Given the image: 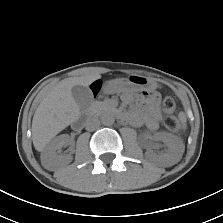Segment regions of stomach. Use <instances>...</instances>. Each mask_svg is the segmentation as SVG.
Wrapping results in <instances>:
<instances>
[{"label":"stomach","instance_id":"stomach-1","mask_svg":"<svg viewBox=\"0 0 223 223\" xmlns=\"http://www.w3.org/2000/svg\"><path fill=\"white\" fill-rule=\"evenodd\" d=\"M155 88L156 84L153 80L140 75H131L127 78L110 81L104 86V91L109 94H125L139 90L153 91Z\"/></svg>","mask_w":223,"mask_h":223}]
</instances>
